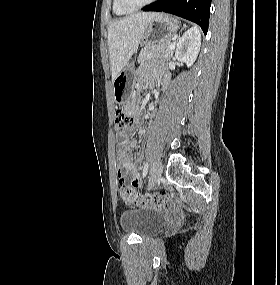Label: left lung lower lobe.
<instances>
[{"mask_svg":"<svg viewBox=\"0 0 280 285\" xmlns=\"http://www.w3.org/2000/svg\"><path fill=\"white\" fill-rule=\"evenodd\" d=\"M211 0H158L143 11H163L198 24L204 34L208 31Z\"/></svg>","mask_w":280,"mask_h":285,"instance_id":"1","label":"left lung lower lobe"}]
</instances>
